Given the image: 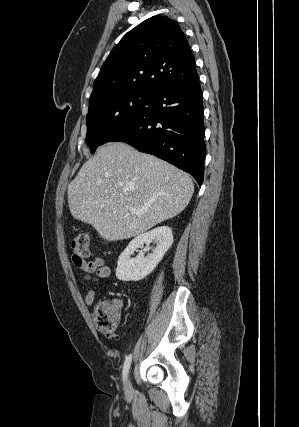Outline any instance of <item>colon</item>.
I'll return each instance as SVG.
<instances>
[{"label":"colon","mask_w":299,"mask_h":427,"mask_svg":"<svg viewBox=\"0 0 299 427\" xmlns=\"http://www.w3.org/2000/svg\"><path fill=\"white\" fill-rule=\"evenodd\" d=\"M71 248L74 262L78 264L87 262L92 255L89 235L86 232L78 233L72 240ZM93 318L100 332L107 335L113 334L120 323V307L115 301L100 300L94 305Z\"/></svg>","instance_id":"1"}]
</instances>
